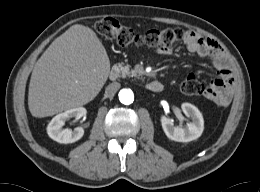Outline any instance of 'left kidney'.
I'll use <instances>...</instances> for the list:
<instances>
[{
	"instance_id": "left-kidney-1",
	"label": "left kidney",
	"mask_w": 260,
	"mask_h": 192,
	"mask_svg": "<svg viewBox=\"0 0 260 192\" xmlns=\"http://www.w3.org/2000/svg\"><path fill=\"white\" fill-rule=\"evenodd\" d=\"M181 108L184 114L191 118V122H188L185 127H178L174 126L172 119L162 116V128L169 139L177 142H190L199 138L204 130L203 116L198 108L190 103H183Z\"/></svg>"
}]
</instances>
